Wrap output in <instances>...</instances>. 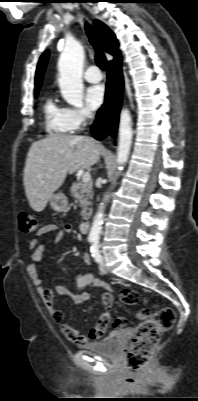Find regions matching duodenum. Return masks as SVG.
Masks as SVG:
<instances>
[{"mask_svg":"<svg viewBox=\"0 0 198 401\" xmlns=\"http://www.w3.org/2000/svg\"><path fill=\"white\" fill-rule=\"evenodd\" d=\"M90 227V220H85L80 224V231L82 233H87Z\"/></svg>","mask_w":198,"mask_h":401,"instance_id":"obj_1","label":"duodenum"}]
</instances>
